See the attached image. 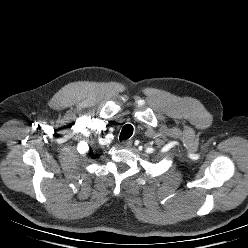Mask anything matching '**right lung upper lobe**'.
Segmentation results:
<instances>
[{"mask_svg":"<svg viewBox=\"0 0 248 248\" xmlns=\"http://www.w3.org/2000/svg\"><path fill=\"white\" fill-rule=\"evenodd\" d=\"M89 155L95 156L91 151H90Z\"/></svg>","mask_w":248,"mask_h":248,"instance_id":"obj_1","label":"right lung upper lobe"}]
</instances>
